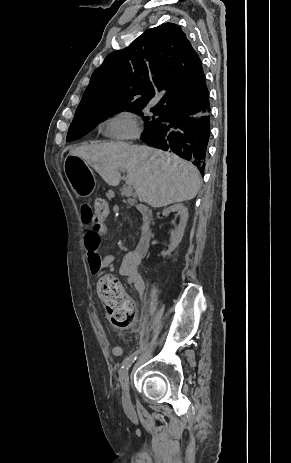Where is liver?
I'll use <instances>...</instances> for the list:
<instances>
[{
    "instance_id": "obj_1",
    "label": "liver",
    "mask_w": 291,
    "mask_h": 463,
    "mask_svg": "<svg viewBox=\"0 0 291 463\" xmlns=\"http://www.w3.org/2000/svg\"><path fill=\"white\" fill-rule=\"evenodd\" d=\"M69 155L83 159L110 186H117L121 171L126 170V184L134 188L140 202L154 208L195 198L201 184L194 165L143 145L89 144L70 150Z\"/></svg>"
}]
</instances>
